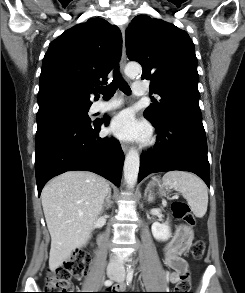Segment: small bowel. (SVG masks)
Listing matches in <instances>:
<instances>
[{"instance_id":"c3829d8e","label":"small bowel","mask_w":245,"mask_h":293,"mask_svg":"<svg viewBox=\"0 0 245 293\" xmlns=\"http://www.w3.org/2000/svg\"><path fill=\"white\" fill-rule=\"evenodd\" d=\"M164 262L170 268V272L166 274V279L170 284H176L180 277L187 272L188 263L185 259L177 254L174 242H170L164 252ZM125 293V292H117Z\"/></svg>"}]
</instances>
